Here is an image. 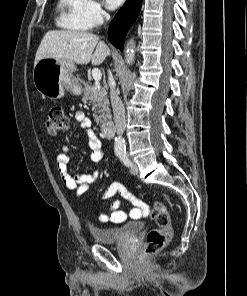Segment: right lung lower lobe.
Segmentation results:
<instances>
[{"instance_id":"right-lung-lower-lobe-1","label":"right lung lower lobe","mask_w":247,"mask_h":296,"mask_svg":"<svg viewBox=\"0 0 247 296\" xmlns=\"http://www.w3.org/2000/svg\"><path fill=\"white\" fill-rule=\"evenodd\" d=\"M141 4L142 0H126L123 7L110 23L108 38L121 51L123 50L126 33L137 18Z\"/></svg>"}]
</instances>
